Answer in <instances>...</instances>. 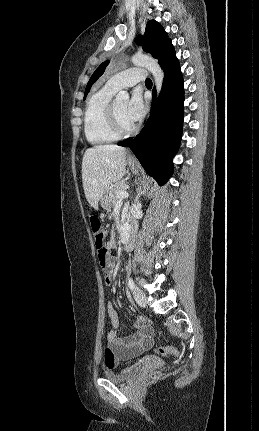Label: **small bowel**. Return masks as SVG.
<instances>
[{"mask_svg":"<svg viewBox=\"0 0 259 431\" xmlns=\"http://www.w3.org/2000/svg\"><path fill=\"white\" fill-rule=\"evenodd\" d=\"M109 246H114L113 239L110 240ZM113 263L114 262H112L111 267L103 266L100 269V272L103 274V278L107 285H110L114 280L112 275ZM107 313L112 323V327L107 334L109 348L106 350L104 356L107 366L113 367L120 360L135 357L149 349L152 343V329L143 317H137L134 320L133 326L136 329L135 332L119 338V320L111 302L107 304Z\"/></svg>","mask_w":259,"mask_h":431,"instance_id":"obj_1","label":"small bowel"}]
</instances>
